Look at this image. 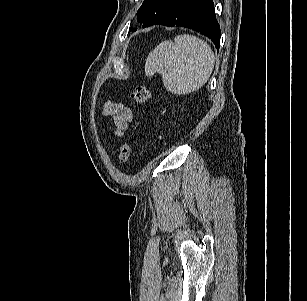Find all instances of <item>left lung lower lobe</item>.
Listing matches in <instances>:
<instances>
[{
  "label": "left lung lower lobe",
  "instance_id": "0a47b994",
  "mask_svg": "<svg viewBox=\"0 0 307 301\" xmlns=\"http://www.w3.org/2000/svg\"><path fill=\"white\" fill-rule=\"evenodd\" d=\"M155 24L182 26L196 30L211 39L217 50L220 47L221 31L212 0H179Z\"/></svg>",
  "mask_w": 307,
  "mask_h": 301
}]
</instances>
